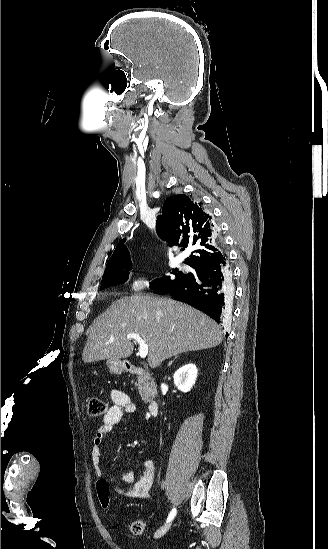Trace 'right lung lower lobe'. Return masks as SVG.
<instances>
[{
    "label": "right lung lower lobe",
    "mask_w": 328,
    "mask_h": 549,
    "mask_svg": "<svg viewBox=\"0 0 328 549\" xmlns=\"http://www.w3.org/2000/svg\"><path fill=\"white\" fill-rule=\"evenodd\" d=\"M195 274L186 281L159 293H170L175 299L186 302L212 317L218 324L224 323L225 292L230 289L231 273L225 256L200 264Z\"/></svg>",
    "instance_id": "right-lung-lower-lobe-1"
}]
</instances>
